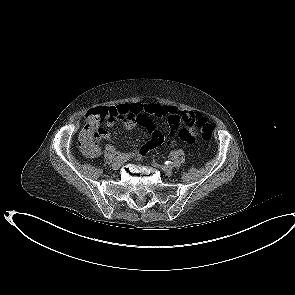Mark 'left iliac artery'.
I'll return each mask as SVG.
<instances>
[{"label":"left iliac artery","instance_id":"1","mask_svg":"<svg viewBox=\"0 0 295 295\" xmlns=\"http://www.w3.org/2000/svg\"><path fill=\"white\" fill-rule=\"evenodd\" d=\"M165 164L168 166V167H172V162L171 161H165Z\"/></svg>","mask_w":295,"mask_h":295}]
</instances>
